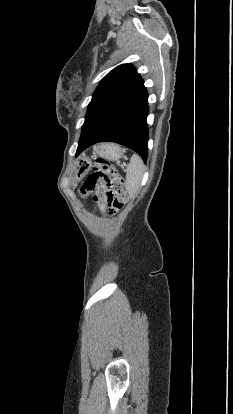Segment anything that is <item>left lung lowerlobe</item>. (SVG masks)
<instances>
[{
  "label": "left lung lower lobe",
  "mask_w": 233,
  "mask_h": 414,
  "mask_svg": "<svg viewBox=\"0 0 233 414\" xmlns=\"http://www.w3.org/2000/svg\"><path fill=\"white\" fill-rule=\"evenodd\" d=\"M148 93L142 79L93 101L82 126L77 155L98 142H116L148 156Z\"/></svg>",
  "instance_id": "left-lung-lower-lobe-1"
}]
</instances>
